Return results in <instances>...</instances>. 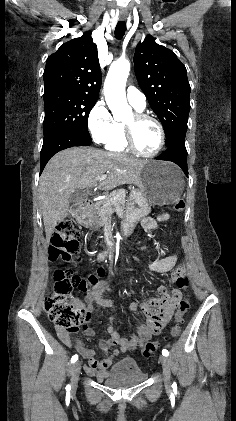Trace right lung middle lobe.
<instances>
[{"label": "right lung middle lobe", "mask_w": 236, "mask_h": 421, "mask_svg": "<svg viewBox=\"0 0 236 421\" xmlns=\"http://www.w3.org/2000/svg\"><path fill=\"white\" fill-rule=\"evenodd\" d=\"M97 98L61 90L44 92V139L57 132H69L91 140L88 115Z\"/></svg>", "instance_id": "dd1d6c3e"}]
</instances>
